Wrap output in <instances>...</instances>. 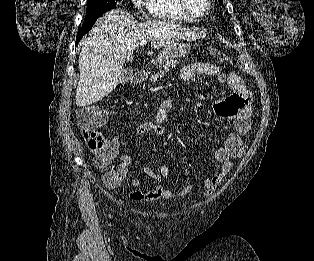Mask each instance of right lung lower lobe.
Instances as JSON below:
<instances>
[{"mask_svg": "<svg viewBox=\"0 0 314 261\" xmlns=\"http://www.w3.org/2000/svg\"><path fill=\"white\" fill-rule=\"evenodd\" d=\"M94 23L95 21L88 25H82V27L79 29L78 34H77L76 44H78L80 39L84 36V34H86L92 28Z\"/></svg>", "mask_w": 314, "mask_h": 261, "instance_id": "98d812e1", "label": "right lung lower lobe"}]
</instances>
